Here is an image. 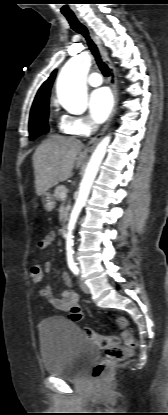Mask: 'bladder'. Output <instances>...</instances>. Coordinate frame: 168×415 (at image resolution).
Masks as SVG:
<instances>
[{
  "instance_id": "obj_1",
  "label": "bladder",
  "mask_w": 168,
  "mask_h": 415,
  "mask_svg": "<svg viewBox=\"0 0 168 415\" xmlns=\"http://www.w3.org/2000/svg\"><path fill=\"white\" fill-rule=\"evenodd\" d=\"M40 346L45 371L63 379H78L98 357L77 324L61 316L41 322Z\"/></svg>"
}]
</instances>
